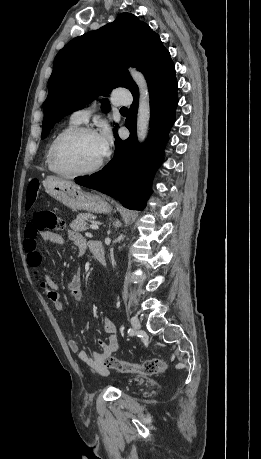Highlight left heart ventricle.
I'll use <instances>...</instances> for the list:
<instances>
[{
	"label": "left heart ventricle",
	"mask_w": 261,
	"mask_h": 459,
	"mask_svg": "<svg viewBox=\"0 0 261 459\" xmlns=\"http://www.w3.org/2000/svg\"><path fill=\"white\" fill-rule=\"evenodd\" d=\"M97 135H80L67 140L60 148L58 161L68 171H79L94 166L103 157Z\"/></svg>",
	"instance_id": "left-heart-ventricle-1"
}]
</instances>
